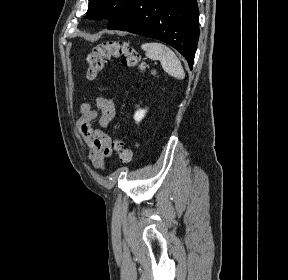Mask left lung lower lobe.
I'll return each instance as SVG.
<instances>
[{
    "label": "left lung lower lobe",
    "instance_id": "1",
    "mask_svg": "<svg viewBox=\"0 0 288 280\" xmlns=\"http://www.w3.org/2000/svg\"><path fill=\"white\" fill-rule=\"evenodd\" d=\"M196 0H136L109 30H122L162 40L193 68L199 38Z\"/></svg>",
    "mask_w": 288,
    "mask_h": 280
}]
</instances>
